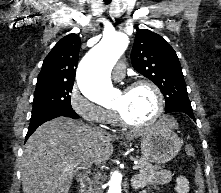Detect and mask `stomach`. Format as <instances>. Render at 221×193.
I'll use <instances>...</instances> for the list:
<instances>
[{
  "instance_id": "stomach-1",
  "label": "stomach",
  "mask_w": 221,
  "mask_h": 193,
  "mask_svg": "<svg viewBox=\"0 0 221 193\" xmlns=\"http://www.w3.org/2000/svg\"><path fill=\"white\" fill-rule=\"evenodd\" d=\"M182 142L172 128L159 121L146 131L141 138V153L152 163H166L180 151Z\"/></svg>"
}]
</instances>
